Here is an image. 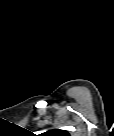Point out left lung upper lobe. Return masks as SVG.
<instances>
[{"mask_svg":"<svg viewBox=\"0 0 114 136\" xmlns=\"http://www.w3.org/2000/svg\"><path fill=\"white\" fill-rule=\"evenodd\" d=\"M48 133H50V136H69L68 132L65 130H53Z\"/></svg>","mask_w":114,"mask_h":136,"instance_id":"obj_1","label":"left lung upper lobe"}]
</instances>
